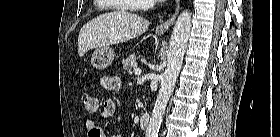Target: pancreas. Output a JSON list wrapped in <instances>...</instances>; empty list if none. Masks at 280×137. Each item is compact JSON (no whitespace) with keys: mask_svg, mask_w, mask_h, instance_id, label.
Listing matches in <instances>:
<instances>
[{"mask_svg":"<svg viewBox=\"0 0 280 137\" xmlns=\"http://www.w3.org/2000/svg\"><path fill=\"white\" fill-rule=\"evenodd\" d=\"M123 69L124 71L132 74L133 71L138 68V63L136 61V57L134 55L129 56L125 60H123Z\"/></svg>","mask_w":280,"mask_h":137,"instance_id":"1","label":"pancreas"}]
</instances>
